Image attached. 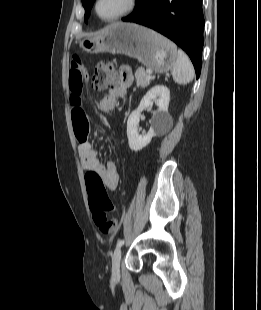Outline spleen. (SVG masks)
Listing matches in <instances>:
<instances>
[{"mask_svg":"<svg viewBox=\"0 0 261 310\" xmlns=\"http://www.w3.org/2000/svg\"><path fill=\"white\" fill-rule=\"evenodd\" d=\"M172 71L173 80L180 85H186L194 78L195 72L193 65L182 50H178L177 52V60L173 65Z\"/></svg>","mask_w":261,"mask_h":310,"instance_id":"3e777b00","label":"spleen"}]
</instances>
